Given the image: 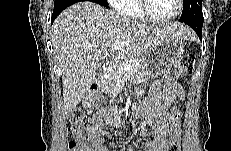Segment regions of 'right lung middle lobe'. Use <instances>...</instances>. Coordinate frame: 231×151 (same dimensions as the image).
<instances>
[{"label":"right lung middle lobe","instance_id":"dd1d6c3e","mask_svg":"<svg viewBox=\"0 0 231 151\" xmlns=\"http://www.w3.org/2000/svg\"><path fill=\"white\" fill-rule=\"evenodd\" d=\"M97 2H98L100 5H102V6L106 7V8H108L107 0H97Z\"/></svg>","mask_w":231,"mask_h":151}]
</instances>
